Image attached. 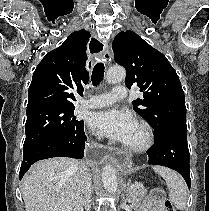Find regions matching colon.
I'll return each instance as SVG.
<instances>
[{
  "label": "colon",
  "mask_w": 209,
  "mask_h": 211,
  "mask_svg": "<svg viewBox=\"0 0 209 211\" xmlns=\"http://www.w3.org/2000/svg\"><path fill=\"white\" fill-rule=\"evenodd\" d=\"M164 211H176L172 202L168 199L164 201Z\"/></svg>",
  "instance_id": "1"
}]
</instances>
